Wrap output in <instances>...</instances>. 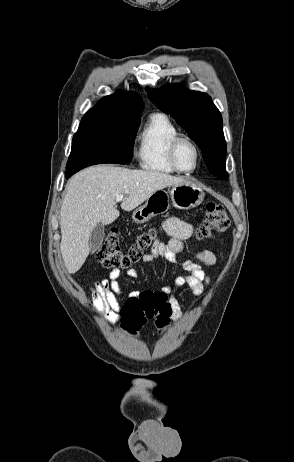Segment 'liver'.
<instances>
[{
	"label": "liver",
	"instance_id": "obj_1",
	"mask_svg": "<svg viewBox=\"0 0 294 462\" xmlns=\"http://www.w3.org/2000/svg\"><path fill=\"white\" fill-rule=\"evenodd\" d=\"M183 181L158 171L113 165L93 166L75 174L65 187L60 211V250L68 272H77L88 257L92 230L119 217L115 206L118 195H126L121 208L131 211L156 191Z\"/></svg>",
	"mask_w": 294,
	"mask_h": 462
}]
</instances>
